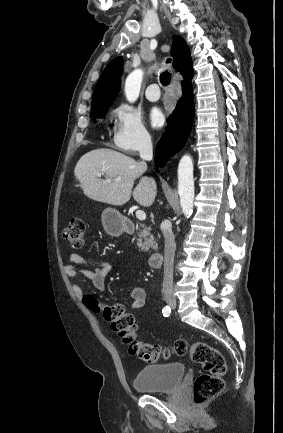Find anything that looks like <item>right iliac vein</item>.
<instances>
[{
    "label": "right iliac vein",
    "instance_id": "63e3f726",
    "mask_svg": "<svg viewBox=\"0 0 283 433\" xmlns=\"http://www.w3.org/2000/svg\"><path fill=\"white\" fill-rule=\"evenodd\" d=\"M166 302L173 309H175L177 307V301L172 296H167L166 297Z\"/></svg>",
    "mask_w": 283,
    "mask_h": 433
}]
</instances>
